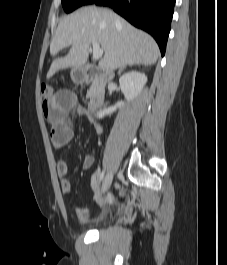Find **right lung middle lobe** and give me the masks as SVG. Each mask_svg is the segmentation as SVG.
Wrapping results in <instances>:
<instances>
[{
	"label": "right lung middle lobe",
	"mask_w": 227,
	"mask_h": 265,
	"mask_svg": "<svg viewBox=\"0 0 227 265\" xmlns=\"http://www.w3.org/2000/svg\"><path fill=\"white\" fill-rule=\"evenodd\" d=\"M95 0H62V6L66 13L72 12L76 8L93 3Z\"/></svg>",
	"instance_id": "obj_1"
}]
</instances>
